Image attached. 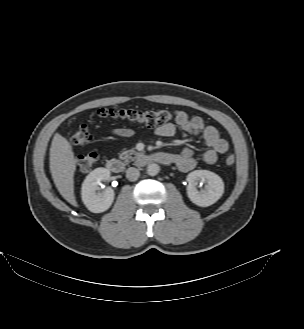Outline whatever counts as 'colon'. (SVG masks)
Here are the masks:
<instances>
[{"mask_svg": "<svg viewBox=\"0 0 304 329\" xmlns=\"http://www.w3.org/2000/svg\"><path fill=\"white\" fill-rule=\"evenodd\" d=\"M97 116L105 120L124 121L149 128L165 125L174 119V114L168 110L101 109L97 111ZM92 140L93 136L86 125H80L72 136V142L75 145H84ZM97 159L98 153L96 151L84 154L77 162L78 172H90L94 168ZM224 161L226 165L231 166L235 162V157L231 152H228L224 157Z\"/></svg>", "mask_w": 304, "mask_h": 329, "instance_id": "colon-1", "label": "colon"}]
</instances>
